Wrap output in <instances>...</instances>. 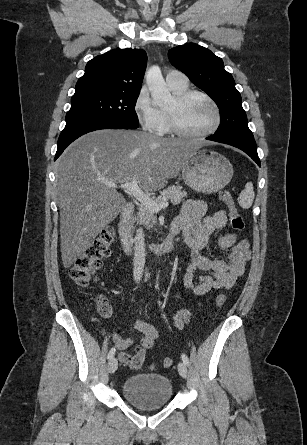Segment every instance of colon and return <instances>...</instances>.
<instances>
[{
    "label": "colon",
    "instance_id": "obj_1",
    "mask_svg": "<svg viewBox=\"0 0 307 445\" xmlns=\"http://www.w3.org/2000/svg\"><path fill=\"white\" fill-rule=\"evenodd\" d=\"M219 199L226 205L229 211L231 227L238 232L243 231L245 229V222L239 214L230 192L228 190L220 191ZM113 241L114 231L111 228H107L76 258L70 269V277L79 287H87L94 280L96 273L101 268L103 259L110 254ZM225 302V294L220 293L216 298V306L222 307ZM96 303L101 316H110L111 306L106 298L98 296ZM118 340L119 339H117V341ZM171 365V358L166 357L162 360V366L164 368H169Z\"/></svg>",
    "mask_w": 307,
    "mask_h": 445
}]
</instances>
